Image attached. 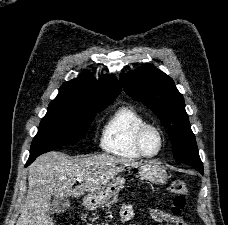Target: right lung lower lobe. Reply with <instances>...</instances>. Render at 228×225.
I'll return each instance as SVG.
<instances>
[{"mask_svg":"<svg viewBox=\"0 0 228 225\" xmlns=\"http://www.w3.org/2000/svg\"><path fill=\"white\" fill-rule=\"evenodd\" d=\"M61 147L62 146H55V147L43 148V149L36 150V151H31L30 157H29V160H28L26 166H28L31 162H33L36 159V157H38L39 155L46 153V152H49V151H52V150H55L57 148H61Z\"/></svg>","mask_w":228,"mask_h":225,"instance_id":"obj_1","label":"right lung lower lobe"}]
</instances>
